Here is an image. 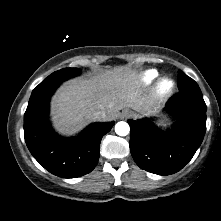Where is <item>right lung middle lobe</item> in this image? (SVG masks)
I'll return each mask as SVG.
<instances>
[{
	"instance_id": "obj_1",
	"label": "right lung middle lobe",
	"mask_w": 221,
	"mask_h": 221,
	"mask_svg": "<svg viewBox=\"0 0 221 221\" xmlns=\"http://www.w3.org/2000/svg\"><path fill=\"white\" fill-rule=\"evenodd\" d=\"M80 73L78 68H65L53 72L46 79H44L33 91L43 89L49 86L59 85L61 82L77 76Z\"/></svg>"
}]
</instances>
